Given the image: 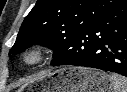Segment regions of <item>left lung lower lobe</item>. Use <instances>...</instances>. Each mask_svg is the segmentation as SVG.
Returning <instances> with one entry per match:
<instances>
[{"mask_svg": "<svg viewBox=\"0 0 127 92\" xmlns=\"http://www.w3.org/2000/svg\"><path fill=\"white\" fill-rule=\"evenodd\" d=\"M51 65L91 67L127 77V0L79 32Z\"/></svg>", "mask_w": 127, "mask_h": 92, "instance_id": "left-lung-lower-lobe-1", "label": "left lung lower lobe"}]
</instances>
